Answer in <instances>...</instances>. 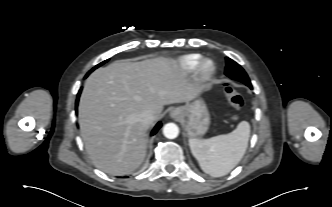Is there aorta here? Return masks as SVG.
<instances>
[{
  "label": "aorta",
  "mask_w": 332,
  "mask_h": 207,
  "mask_svg": "<svg viewBox=\"0 0 332 207\" xmlns=\"http://www.w3.org/2000/svg\"><path fill=\"white\" fill-rule=\"evenodd\" d=\"M163 134L166 138L168 139H174L178 136L179 134V128L176 124L174 123H167L163 127Z\"/></svg>",
  "instance_id": "obj_1"
}]
</instances>
